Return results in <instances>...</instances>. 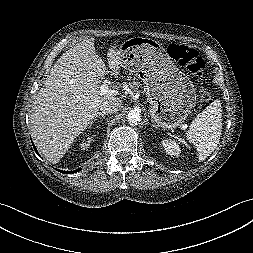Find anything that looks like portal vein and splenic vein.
Segmentation results:
<instances>
[{
	"label": "portal vein and splenic vein",
	"mask_w": 253,
	"mask_h": 253,
	"mask_svg": "<svg viewBox=\"0 0 253 253\" xmlns=\"http://www.w3.org/2000/svg\"><path fill=\"white\" fill-rule=\"evenodd\" d=\"M100 93L102 95H107V94H116L117 92L114 90H109L108 88V82L105 81L103 84L100 86Z\"/></svg>",
	"instance_id": "portal-vein-and-splenic-vein-1"
}]
</instances>
